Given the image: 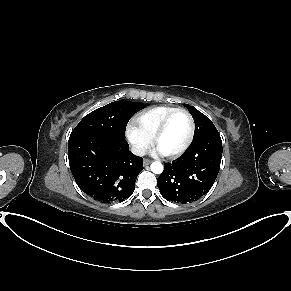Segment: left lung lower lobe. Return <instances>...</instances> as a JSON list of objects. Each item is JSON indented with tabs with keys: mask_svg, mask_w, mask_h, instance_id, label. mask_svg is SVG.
<instances>
[{
	"mask_svg": "<svg viewBox=\"0 0 291 291\" xmlns=\"http://www.w3.org/2000/svg\"><path fill=\"white\" fill-rule=\"evenodd\" d=\"M219 134L191 143L177 160L164 164L157 179L161 195L176 203H191L200 199L213 186L222 158Z\"/></svg>",
	"mask_w": 291,
	"mask_h": 291,
	"instance_id": "obj_1",
	"label": "left lung lower lobe"
}]
</instances>
